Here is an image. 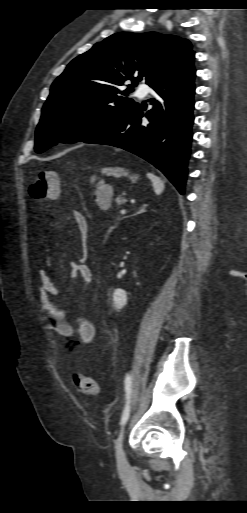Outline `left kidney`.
Here are the masks:
<instances>
[{"instance_id": "1", "label": "left kidney", "mask_w": 247, "mask_h": 513, "mask_svg": "<svg viewBox=\"0 0 247 513\" xmlns=\"http://www.w3.org/2000/svg\"><path fill=\"white\" fill-rule=\"evenodd\" d=\"M127 303L126 292L122 289H116L113 293V304L116 309L123 308Z\"/></svg>"}]
</instances>
